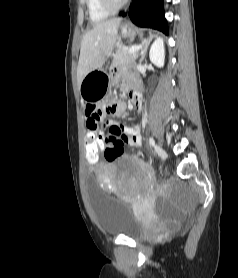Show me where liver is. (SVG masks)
<instances>
[{
	"instance_id": "liver-1",
	"label": "liver",
	"mask_w": 238,
	"mask_h": 278,
	"mask_svg": "<svg viewBox=\"0 0 238 278\" xmlns=\"http://www.w3.org/2000/svg\"><path fill=\"white\" fill-rule=\"evenodd\" d=\"M120 23V18L98 22L83 36L77 68L78 87L88 73L105 63L116 42Z\"/></svg>"
}]
</instances>
